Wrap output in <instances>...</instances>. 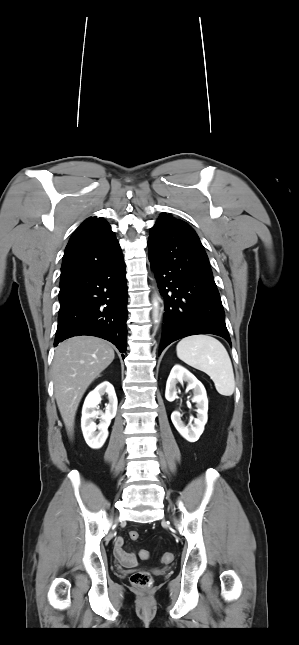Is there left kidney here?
I'll return each mask as SVG.
<instances>
[{
  "instance_id": "left-kidney-1",
  "label": "left kidney",
  "mask_w": 299,
  "mask_h": 645,
  "mask_svg": "<svg viewBox=\"0 0 299 645\" xmlns=\"http://www.w3.org/2000/svg\"><path fill=\"white\" fill-rule=\"evenodd\" d=\"M178 382H187V388L189 390H193L194 396L192 398V402L196 403L197 417L194 419V424L185 426L181 420L182 415L180 412L174 411L171 414V420L182 437L189 442H196L203 433L204 426L208 419V399L206 390L203 384L197 380L192 373L177 364L172 368L166 383L165 398L170 402L174 401L177 396L176 384Z\"/></svg>"
}]
</instances>
